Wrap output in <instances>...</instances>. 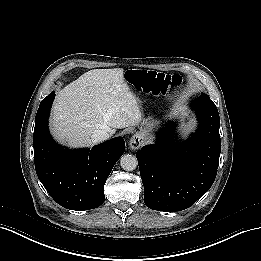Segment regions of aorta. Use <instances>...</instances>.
Returning <instances> with one entry per match:
<instances>
[{
    "instance_id": "762f6f07",
    "label": "aorta",
    "mask_w": 261,
    "mask_h": 261,
    "mask_svg": "<svg viewBox=\"0 0 261 261\" xmlns=\"http://www.w3.org/2000/svg\"><path fill=\"white\" fill-rule=\"evenodd\" d=\"M120 165L121 168L125 171H133L137 168L138 166V161L136 156L132 154H124L120 158Z\"/></svg>"
}]
</instances>
